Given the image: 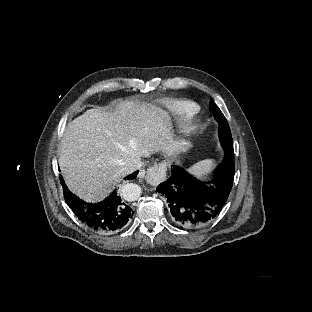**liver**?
I'll return each mask as SVG.
<instances>
[{"mask_svg":"<svg viewBox=\"0 0 312 312\" xmlns=\"http://www.w3.org/2000/svg\"><path fill=\"white\" fill-rule=\"evenodd\" d=\"M182 148L166 111L151 103L121 100L114 111L89 109L70 122L58 148L68 189L86 202L106 198L136 157Z\"/></svg>","mask_w":312,"mask_h":312,"instance_id":"liver-1","label":"liver"}]
</instances>
